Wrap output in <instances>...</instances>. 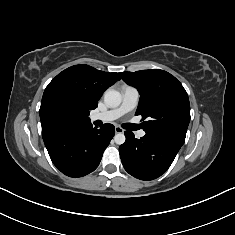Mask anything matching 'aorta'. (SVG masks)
<instances>
[{
	"label": "aorta",
	"mask_w": 235,
	"mask_h": 235,
	"mask_svg": "<svg viewBox=\"0 0 235 235\" xmlns=\"http://www.w3.org/2000/svg\"><path fill=\"white\" fill-rule=\"evenodd\" d=\"M122 96L120 92L114 89H108L104 94V102L108 107L114 108L121 104ZM126 138L123 133H118L114 136V141L118 145H122Z\"/></svg>",
	"instance_id": "762f6f07"
}]
</instances>
